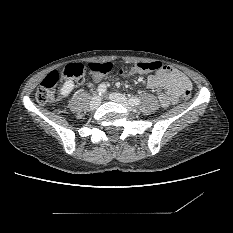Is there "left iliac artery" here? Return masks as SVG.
<instances>
[{
	"instance_id": "1",
	"label": "left iliac artery",
	"mask_w": 233,
	"mask_h": 233,
	"mask_svg": "<svg viewBox=\"0 0 233 233\" xmlns=\"http://www.w3.org/2000/svg\"><path fill=\"white\" fill-rule=\"evenodd\" d=\"M140 102H141V100L139 99V98H134V97H131L130 99H129V103L131 104V105H138V104H140Z\"/></svg>"
}]
</instances>
